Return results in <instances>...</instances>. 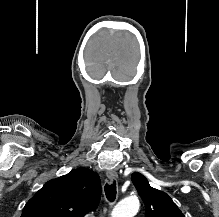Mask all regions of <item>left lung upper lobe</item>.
I'll return each instance as SVG.
<instances>
[{
    "label": "left lung upper lobe",
    "mask_w": 219,
    "mask_h": 217,
    "mask_svg": "<svg viewBox=\"0 0 219 217\" xmlns=\"http://www.w3.org/2000/svg\"><path fill=\"white\" fill-rule=\"evenodd\" d=\"M131 178L144 201L146 217H184L172 199L166 193L152 188L141 173L135 172Z\"/></svg>",
    "instance_id": "5c2ea615"
}]
</instances>
